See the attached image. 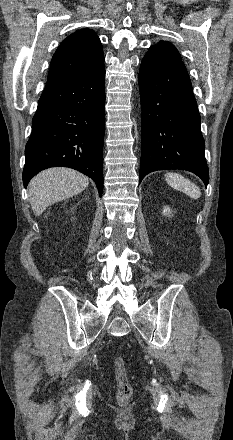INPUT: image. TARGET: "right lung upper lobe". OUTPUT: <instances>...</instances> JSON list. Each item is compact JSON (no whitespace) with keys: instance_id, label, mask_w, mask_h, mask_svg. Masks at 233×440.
Wrapping results in <instances>:
<instances>
[{"instance_id":"right-lung-upper-lobe-1","label":"right lung upper lobe","mask_w":233,"mask_h":440,"mask_svg":"<svg viewBox=\"0 0 233 440\" xmlns=\"http://www.w3.org/2000/svg\"><path fill=\"white\" fill-rule=\"evenodd\" d=\"M104 66L101 42L89 29L69 35L52 57L46 86L59 85L86 78Z\"/></svg>"}]
</instances>
